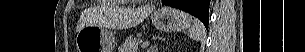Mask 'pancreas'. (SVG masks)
I'll return each mask as SVG.
<instances>
[{
  "label": "pancreas",
  "instance_id": "1",
  "mask_svg": "<svg viewBox=\"0 0 305 52\" xmlns=\"http://www.w3.org/2000/svg\"><path fill=\"white\" fill-rule=\"evenodd\" d=\"M140 43L139 37H130L119 47V52H138Z\"/></svg>",
  "mask_w": 305,
  "mask_h": 52
}]
</instances>
